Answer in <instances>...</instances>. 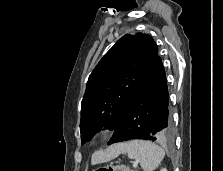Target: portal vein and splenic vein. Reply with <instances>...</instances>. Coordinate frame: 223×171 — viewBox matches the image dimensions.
I'll return each instance as SVG.
<instances>
[{
    "label": "portal vein and splenic vein",
    "instance_id": "obj_1",
    "mask_svg": "<svg viewBox=\"0 0 223 171\" xmlns=\"http://www.w3.org/2000/svg\"><path fill=\"white\" fill-rule=\"evenodd\" d=\"M138 166V163L137 162H134L133 163V167H137Z\"/></svg>",
    "mask_w": 223,
    "mask_h": 171
}]
</instances>
